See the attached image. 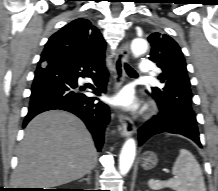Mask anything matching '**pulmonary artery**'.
Segmentation results:
<instances>
[{
	"instance_id": "pulmonary-artery-1",
	"label": "pulmonary artery",
	"mask_w": 218,
	"mask_h": 191,
	"mask_svg": "<svg viewBox=\"0 0 218 191\" xmlns=\"http://www.w3.org/2000/svg\"><path fill=\"white\" fill-rule=\"evenodd\" d=\"M151 62L149 60L141 61L138 68L139 75H147L150 72Z\"/></svg>"
}]
</instances>
